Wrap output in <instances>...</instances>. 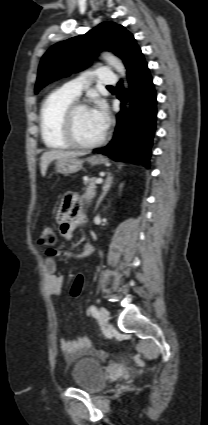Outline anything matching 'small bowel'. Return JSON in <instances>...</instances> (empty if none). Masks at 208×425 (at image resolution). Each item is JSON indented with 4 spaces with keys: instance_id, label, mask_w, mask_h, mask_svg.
<instances>
[{
    "instance_id": "c3829d8e",
    "label": "small bowel",
    "mask_w": 208,
    "mask_h": 425,
    "mask_svg": "<svg viewBox=\"0 0 208 425\" xmlns=\"http://www.w3.org/2000/svg\"><path fill=\"white\" fill-rule=\"evenodd\" d=\"M87 218L82 212L81 205L78 201L76 194L68 193L59 208L57 214V223L59 230L65 239H70L75 229L85 225ZM93 252V246L86 244L82 250L78 253H72L69 251L59 250H48L47 256L44 260L45 270V284L49 295L58 296L62 293L64 279L62 276L57 275V263L54 260L55 256H66V257H77L85 258L91 255ZM90 347V340L86 337H80L76 340L68 341L61 340L60 348L62 352L69 358H75L81 354L86 348Z\"/></svg>"
}]
</instances>
